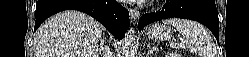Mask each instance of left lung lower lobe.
Listing matches in <instances>:
<instances>
[{"instance_id":"1","label":"left lung lower lobe","mask_w":249,"mask_h":57,"mask_svg":"<svg viewBox=\"0 0 249 57\" xmlns=\"http://www.w3.org/2000/svg\"><path fill=\"white\" fill-rule=\"evenodd\" d=\"M185 18L198 21L207 26L219 41V19L215 0H167L159 12L141 16L138 29L166 18Z\"/></svg>"}]
</instances>
